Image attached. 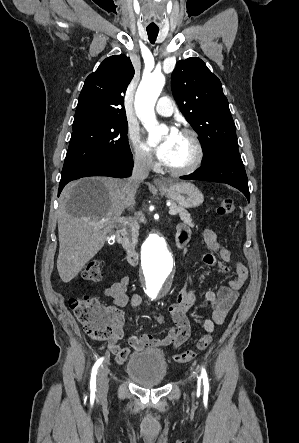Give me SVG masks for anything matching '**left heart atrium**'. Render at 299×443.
<instances>
[{
	"label": "left heart atrium",
	"instance_id": "1",
	"mask_svg": "<svg viewBox=\"0 0 299 443\" xmlns=\"http://www.w3.org/2000/svg\"><path fill=\"white\" fill-rule=\"evenodd\" d=\"M177 135L178 132L175 129H172L166 139L163 140V142L156 147L155 153L160 161L164 162L166 160L168 151L173 141L176 139Z\"/></svg>",
	"mask_w": 299,
	"mask_h": 443
}]
</instances>
